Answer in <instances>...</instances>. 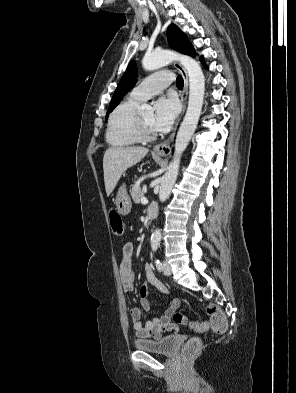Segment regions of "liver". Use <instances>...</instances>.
Here are the masks:
<instances>
[{"label":"liver","mask_w":296,"mask_h":393,"mask_svg":"<svg viewBox=\"0 0 296 393\" xmlns=\"http://www.w3.org/2000/svg\"><path fill=\"white\" fill-rule=\"evenodd\" d=\"M144 147H110L103 157L104 182L110 196L122 174L140 162L148 153Z\"/></svg>","instance_id":"6515ba94"}]
</instances>
